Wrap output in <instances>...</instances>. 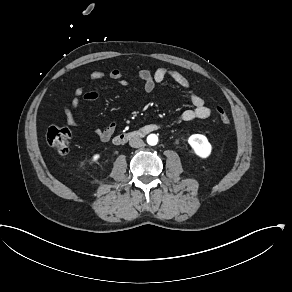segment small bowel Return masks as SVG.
<instances>
[{
    "label": "small bowel",
    "mask_w": 292,
    "mask_h": 292,
    "mask_svg": "<svg viewBox=\"0 0 292 292\" xmlns=\"http://www.w3.org/2000/svg\"><path fill=\"white\" fill-rule=\"evenodd\" d=\"M137 76L143 83L145 95L151 94L155 87L161 84L166 78H171L178 85L187 90L193 107L184 110L176 118L172 119L168 125L189 122L195 119H206L211 115V109L205 104L204 99L192 89L188 78L179 71L163 67L156 69L154 72L142 69L138 72ZM105 77H109L114 81H120L122 84H125L123 74L117 68L111 69L108 73L99 70L93 71L88 75V80L97 81ZM74 95V98L70 99L64 108V116L66 123L70 127L77 128L79 127V122L76 118L75 111L79 103L81 101H95L99 98V93L97 91H85L83 88L79 87L75 90ZM115 130L116 123H111L104 129L95 130V134L102 142H108L113 136Z\"/></svg>",
    "instance_id": "c3829d8e"
}]
</instances>
